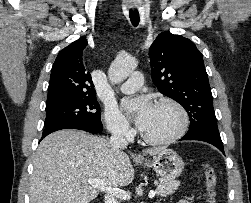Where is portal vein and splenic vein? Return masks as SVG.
Masks as SVG:
<instances>
[{
	"instance_id": "portal-vein-and-splenic-vein-1",
	"label": "portal vein and splenic vein",
	"mask_w": 251,
	"mask_h": 203,
	"mask_svg": "<svg viewBox=\"0 0 251 203\" xmlns=\"http://www.w3.org/2000/svg\"><path fill=\"white\" fill-rule=\"evenodd\" d=\"M88 183L99 189L100 191L102 192H107V193H110V194H113L115 195L116 197L120 198V199H129L130 198V194L122 189H119V188H112V187H109L107 186L103 181L97 179V178H94V179H88ZM156 194V191L152 190L149 192L148 196L149 198H154Z\"/></svg>"
}]
</instances>
